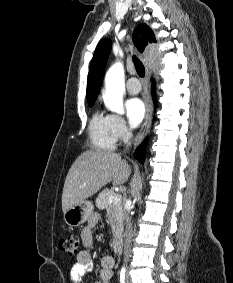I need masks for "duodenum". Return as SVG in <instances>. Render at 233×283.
<instances>
[{
  "mask_svg": "<svg viewBox=\"0 0 233 283\" xmlns=\"http://www.w3.org/2000/svg\"><path fill=\"white\" fill-rule=\"evenodd\" d=\"M115 249L117 253H121L122 251V241L119 238L115 241Z\"/></svg>",
  "mask_w": 233,
  "mask_h": 283,
  "instance_id": "duodenum-1",
  "label": "duodenum"
}]
</instances>
